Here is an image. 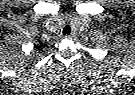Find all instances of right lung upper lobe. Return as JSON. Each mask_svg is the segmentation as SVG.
<instances>
[{
    "label": "right lung upper lobe",
    "instance_id": "obj_1",
    "mask_svg": "<svg viewBox=\"0 0 135 95\" xmlns=\"http://www.w3.org/2000/svg\"><path fill=\"white\" fill-rule=\"evenodd\" d=\"M46 46V44H43L40 40H38V43L34 45L35 50L38 52L42 51V49Z\"/></svg>",
    "mask_w": 135,
    "mask_h": 95
}]
</instances>
